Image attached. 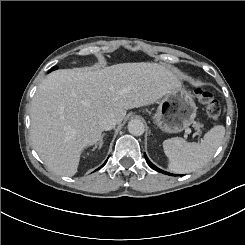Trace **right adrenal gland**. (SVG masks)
<instances>
[{
	"instance_id": "2a0ac1e0",
	"label": "right adrenal gland",
	"mask_w": 245,
	"mask_h": 245,
	"mask_svg": "<svg viewBox=\"0 0 245 245\" xmlns=\"http://www.w3.org/2000/svg\"><path fill=\"white\" fill-rule=\"evenodd\" d=\"M106 135H107V133H105V132L102 133L100 140L98 142H95V146L93 147L92 151L95 148L101 149V147L103 146V143H104V136H106Z\"/></svg>"
}]
</instances>
